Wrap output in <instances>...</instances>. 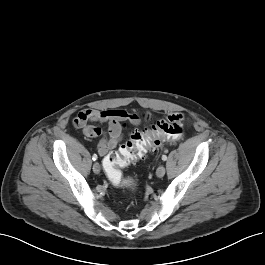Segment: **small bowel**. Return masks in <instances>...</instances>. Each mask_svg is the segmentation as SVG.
Here are the masks:
<instances>
[{
    "instance_id": "1",
    "label": "small bowel",
    "mask_w": 265,
    "mask_h": 265,
    "mask_svg": "<svg viewBox=\"0 0 265 265\" xmlns=\"http://www.w3.org/2000/svg\"><path fill=\"white\" fill-rule=\"evenodd\" d=\"M147 118V116H145ZM183 119L181 114H170L168 119ZM142 117L137 113H127L124 110H96L84 109L73 118V125L82 130L88 138L101 136L97 146L100 156H105L110 150L115 149L123 138V123L126 125H138ZM90 122L107 125V131L100 127L91 125Z\"/></svg>"
}]
</instances>
